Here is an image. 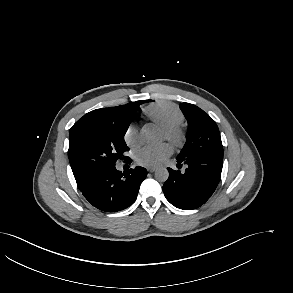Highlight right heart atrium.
<instances>
[{
	"instance_id": "right-heart-atrium-1",
	"label": "right heart atrium",
	"mask_w": 293,
	"mask_h": 293,
	"mask_svg": "<svg viewBox=\"0 0 293 293\" xmlns=\"http://www.w3.org/2000/svg\"><path fill=\"white\" fill-rule=\"evenodd\" d=\"M123 139L128 147H137L141 142V137L138 128L134 124H130L124 132Z\"/></svg>"
}]
</instances>
